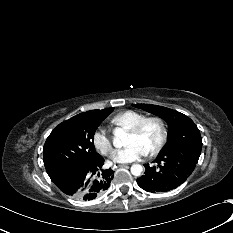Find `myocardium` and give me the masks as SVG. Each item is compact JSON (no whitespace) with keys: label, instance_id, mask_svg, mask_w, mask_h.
Returning a JSON list of instances; mask_svg holds the SVG:
<instances>
[{"label":"myocardium","instance_id":"1","mask_svg":"<svg viewBox=\"0 0 233 233\" xmlns=\"http://www.w3.org/2000/svg\"><path fill=\"white\" fill-rule=\"evenodd\" d=\"M151 122H155L158 125L160 130V135L157 143L152 147L151 150L147 152L148 156L156 155L166 143L168 130L165 121L159 116L145 117L139 123L128 129L130 133L140 134L143 131V129L147 126V124Z\"/></svg>","mask_w":233,"mask_h":233}]
</instances>
